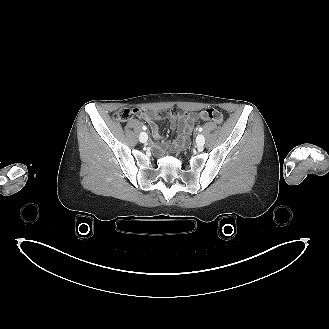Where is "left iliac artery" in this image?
<instances>
[{
    "label": "left iliac artery",
    "instance_id": "44dca946",
    "mask_svg": "<svg viewBox=\"0 0 329 329\" xmlns=\"http://www.w3.org/2000/svg\"><path fill=\"white\" fill-rule=\"evenodd\" d=\"M198 131H199V132H202V131H203V128H202V127H199V128H198Z\"/></svg>",
    "mask_w": 329,
    "mask_h": 329
}]
</instances>
